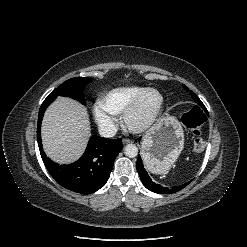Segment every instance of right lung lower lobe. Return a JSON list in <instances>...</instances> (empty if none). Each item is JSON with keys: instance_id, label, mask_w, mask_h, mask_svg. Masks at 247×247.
<instances>
[{"instance_id": "obj_1", "label": "right lung lower lobe", "mask_w": 247, "mask_h": 247, "mask_svg": "<svg viewBox=\"0 0 247 247\" xmlns=\"http://www.w3.org/2000/svg\"><path fill=\"white\" fill-rule=\"evenodd\" d=\"M54 100L46 98L38 114L37 141L42 160L50 175L62 187L81 194L93 193L106 184L115 158L122 149V140L94 136L77 162L69 165L52 162L42 150L41 123L46 108Z\"/></svg>"}]
</instances>
